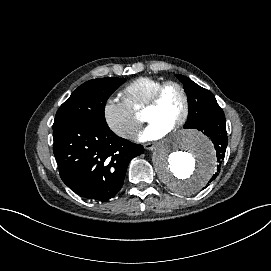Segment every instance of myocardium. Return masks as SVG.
<instances>
[{
    "label": "myocardium",
    "mask_w": 271,
    "mask_h": 271,
    "mask_svg": "<svg viewBox=\"0 0 271 271\" xmlns=\"http://www.w3.org/2000/svg\"><path fill=\"white\" fill-rule=\"evenodd\" d=\"M169 86L178 87L181 90L184 96V100H185L184 112L182 116L175 122L174 126L172 127L171 131L173 132V131L179 130L183 125H185L191 115V97L186 86L180 81H177V80L163 81L153 92L150 102L147 104V106L144 109V113H146L149 110L158 108L160 104L161 96L164 90Z\"/></svg>",
    "instance_id": "myocardium-1"
}]
</instances>
